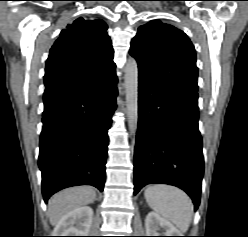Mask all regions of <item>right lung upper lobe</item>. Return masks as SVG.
I'll return each mask as SVG.
<instances>
[{
  "label": "right lung upper lobe",
  "instance_id": "obj_1",
  "mask_svg": "<svg viewBox=\"0 0 248 237\" xmlns=\"http://www.w3.org/2000/svg\"><path fill=\"white\" fill-rule=\"evenodd\" d=\"M106 30L101 19L80 17L61 31L47 59L45 92L85 83L115 69Z\"/></svg>",
  "mask_w": 248,
  "mask_h": 237
}]
</instances>
